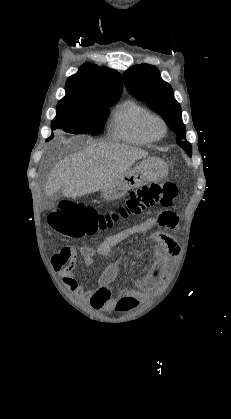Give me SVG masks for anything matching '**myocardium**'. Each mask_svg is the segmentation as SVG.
<instances>
[{
  "label": "myocardium",
  "mask_w": 231,
  "mask_h": 419,
  "mask_svg": "<svg viewBox=\"0 0 231 419\" xmlns=\"http://www.w3.org/2000/svg\"><path fill=\"white\" fill-rule=\"evenodd\" d=\"M158 121L161 124L162 127V131L160 134L156 135L154 134L151 129H150V124L152 121ZM143 129L145 134L153 141V140H159L161 138H163L166 133H167V124L166 121L164 120V118L162 116H160L159 114H155V113H150L143 122Z\"/></svg>",
  "instance_id": "1"
}]
</instances>
